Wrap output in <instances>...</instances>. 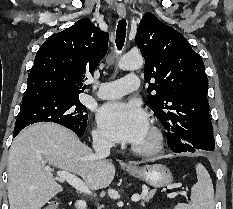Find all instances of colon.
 <instances>
[{
  "instance_id": "colon-1",
  "label": "colon",
  "mask_w": 233,
  "mask_h": 209,
  "mask_svg": "<svg viewBox=\"0 0 233 209\" xmlns=\"http://www.w3.org/2000/svg\"><path fill=\"white\" fill-rule=\"evenodd\" d=\"M42 209H59V203L57 201H52L44 205Z\"/></svg>"
}]
</instances>
